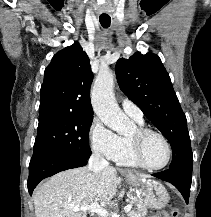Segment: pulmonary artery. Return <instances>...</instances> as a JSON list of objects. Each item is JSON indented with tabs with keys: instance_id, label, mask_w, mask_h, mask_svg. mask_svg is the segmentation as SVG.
<instances>
[{
	"instance_id": "1",
	"label": "pulmonary artery",
	"mask_w": 211,
	"mask_h": 217,
	"mask_svg": "<svg viewBox=\"0 0 211 217\" xmlns=\"http://www.w3.org/2000/svg\"><path fill=\"white\" fill-rule=\"evenodd\" d=\"M121 107L123 111L131 118L137 120H143V112L141 109L133 103L130 99L124 98L121 101Z\"/></svg>"
}]
</instances>
